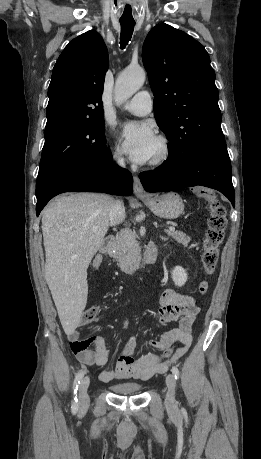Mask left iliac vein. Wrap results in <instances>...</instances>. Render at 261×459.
<instances>
[{
    "label": "left iliac vein",
    "mask_w": 261,
    "mask_h": 459,
    "mask_svg": "<svg viewBox=\"0 0 261 459\" xmlns=\"http://www.w3.org/2000/svg\"><path fill=\"white\" fill-rule=\"evenodd\" d=\"M166 385H167V395H166L165 404L167 408L174 409L176 407V399H175L176 381H175V377L172 374H168L166 376Z\"/></svg>",
    "instance_id": "4c4485c4"
}]
</instances>
